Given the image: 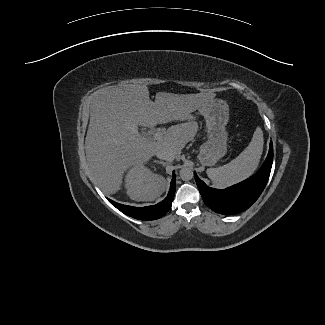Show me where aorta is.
Listing matches in <instances>:
<instances>
[{"label":"aorta","mask_w":325,"mask_h":325,"mask_svg":"<svg viewBox=\"0 0 325 325\" xmlns=\"http://www.w3.org/2000/svg\"><path fill=\"white\" fill-rule=\"evenodd\" d=\"M179 174L183 181H189L193 178V170L189 167H183Z\"/></svg>","instance_id":"obj_1"}]
</instances>
